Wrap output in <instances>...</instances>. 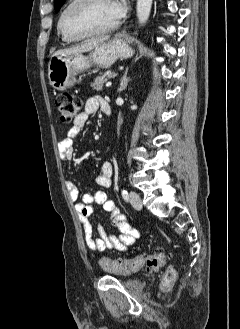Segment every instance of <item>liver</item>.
<instances>
[{
    "instance_id": "1",
    "label": "liver",
    "mask_w": 240,
    "mask_h": 329,
    "mask_svg": "<svg viewBox=\"0 0 240 329\" xmlns=\"http://www.w3.org/2000/svg\"><path fill=\"white\" fill-rule=\"evenodd\" d=\"M108 39H109L108 36L91 38V39L84 41L81 44H78V45H75V46H72L69 48L57 50L53 53L52 56H66V55H71L74 53L87 52V51H90V50L96 48L97 46H99L103 42L107 41Z\"/></svg>"
}]
</instances>
